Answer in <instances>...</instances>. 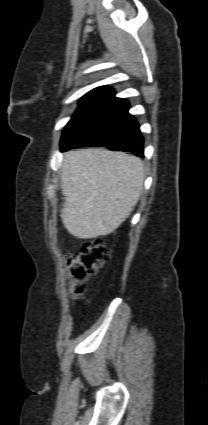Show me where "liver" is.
I'll use <instances>...</instances> for the list:
<instances>
[{
  "mask_svg": "<svg viewBox=\"0 0 208 425\" xmlns=\"http://www.w3.org/2000/svg\"><path fill=\"white\" fill-rule=\"evenodd\" d=\"M141 159L105 149L64 154L62 222L79 239L106 236L131 214L143 190Z\"/></svg>",
  "mask_w": 208,
  "mask_h": 425,
  "instance_id": "liver-1",
  "label": "liver"
}]
</instances>
